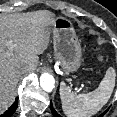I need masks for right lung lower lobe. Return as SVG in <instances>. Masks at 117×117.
I'll return each mask as SVG.
<instances>
[{
  "label": "right lung lower lobe",
  "instance_id": "98d812e1",
  "mask_svg": "<svg viewBox=\"0 0 117 117\" xmlns=\"http://www.w3.org/2000/svg\"><path fill=\"white\" fill-rule=\"evenodd\" d=\"M17 104H18V98H16L12 106L7 111H5L4 114L0 115V117H11L17 108Z\"/></svg>",
  "mask_w": 117,
  "mask_h": 117
}]
</instances>
